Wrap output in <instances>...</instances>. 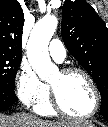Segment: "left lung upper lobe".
Segmentation results:
<instances>
[{"mask_svg":"<svg viewBox=\"0 0 108 127\" xmlns=\"http://www.w3.org/2000/svg\"><path fill=\"white\" fill-rule=\"evenodd\" d=\"M61 35L70 54L87 70L101 94V114L108 116V29L83 0H66Z\"/></svg>","mask_w":108,"mask_h":127,"instance_id":"left-lung-upper-lobe-1","label":"left lung upper lobe"}]
</instances>
